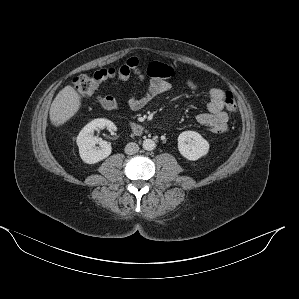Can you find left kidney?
<instances>
[{
    "label": "left kidney",
    "instance_id": "5707ae66",
    "mask_svg": "<svg viewBox=\"0 0 299 299\" xmlns=\"http://www.w3.org/2000/svg\"><path fill=\"white\" fill-rule=\"evenodd\" d=\"M178 150L186 159L195 161L207 155L209 143L198 132L184 131L178 136Z\"/></svg>",
    "mask_w": 299,
    "mask_h": 299
}]
</instances>
